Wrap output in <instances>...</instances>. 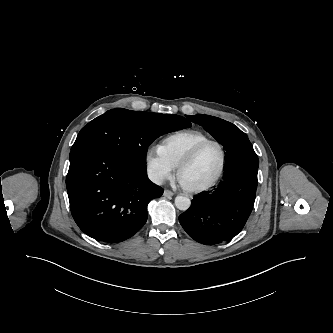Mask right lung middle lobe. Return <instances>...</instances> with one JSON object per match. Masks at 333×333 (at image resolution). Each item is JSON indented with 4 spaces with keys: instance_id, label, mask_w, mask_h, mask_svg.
<instances>
[{
    "instance_id": "dd1d6c3e",
    "label": "right lung middle lobe",
    "mask_w": 333,
    "mask_h": 333,
    "mask_svg": "<svg viewBox=\"0 0 333 333\" xmlns=\"http://www.w3.org/2000/svg\"><path fill=\"white\" fill-rule=\"evenodd\" d=\"M190 126L188 120L178 115L116 108L89 122L79 132L72 147L93 143L133 164L146 166L147 149L156 138Z\"/></svg>"
}]
</instances>
